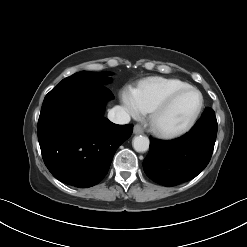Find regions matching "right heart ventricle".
I'll return each mask as SVG.
<instances>
[{
	"instance_id": "obj_1",
	"label": "right heart ventricle",
	"mask_w": 247,
	"mask_h": 247,
	"mask_svg": "<svg viewBox=\"0 0 247 247\" xmlns=\"http://www.w3.org/2000/svg\"><path fill=\"white\" fill-rule=\"evenodd\" d=\"M187 87V83L178 79L152 77L141 81L134 91L142 111L150 112L170 94Z\"/></svg>"
}]
</instances>
